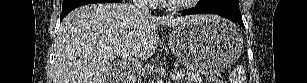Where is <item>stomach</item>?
Listing matches in <instances>:
<instances>
[{"label": "stomach", "mask_w": 307, "mask_h": 83, "mask_svg": "<svg viewBox=\"0 0 307 83\" xmlns=\"http://www.w3.org/2000/svg\"><path fill=\"white\" fill-rule=\"evenodd\" d=\"M175 57L189 70L213 75L239 58L243 37L235 24L213 16L182 24L169 34Z\"/></svg>", "instance_id": "1"}]
</instances>
